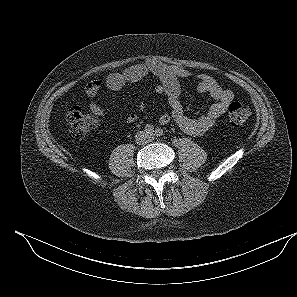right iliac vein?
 I'll use <instances>...</instances> for the list:
<instances>
[{
  "label": "right iliac vein",
  "mask_w": 297,
  "mask_h": 297,
  "mask_svg": "<svg viewBox=\"0 0 297 297\" xmlns=\"http://www.w3.org/2000/svg\"><path fill=\"white\" fill-rule=\"evenodd\" d=\"M143 139H144V137H142V135L137 139L138 140V142H143Z\"/></svg>",
  "instance_id": "1"
}]
</instances>
